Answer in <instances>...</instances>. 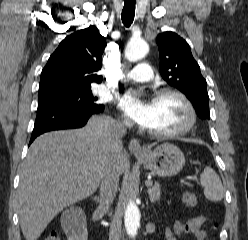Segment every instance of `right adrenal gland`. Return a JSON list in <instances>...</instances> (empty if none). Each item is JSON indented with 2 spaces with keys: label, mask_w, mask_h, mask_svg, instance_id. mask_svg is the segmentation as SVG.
Returning a JSON list of instances; mask_svg holds the SVG:
<instances>
[{
  "label": "right adrenal gland",
  "mask_w": 248,
  "mask_h": 240,
  "mask_svg": "<svg viewBox=\"0 0 248 240\" xmlns=\"http://www.w3.org/2000/svg\"><path fill=\"white\" fill-rule=\"evenodd\" d=\"M92 199L95 201L96 204H99L100 203L99 196H94Z\"/></svg>",
  "instance_id": "1"
}]
</instances>
